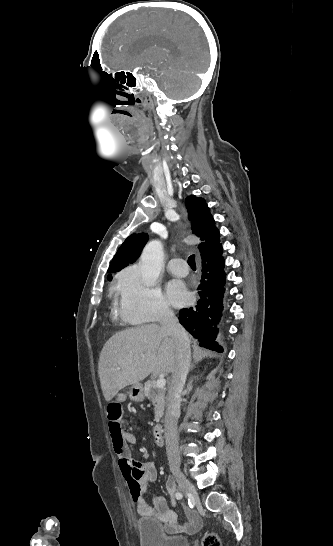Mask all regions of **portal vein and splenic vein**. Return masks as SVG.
I'll return each mask as SVG.
<instances>
[{
    "mask_svg": "<svg viewBox=\"0 0 333 546\" xmlns=\"http://www.w3.org/2000/svg\"><path fill=\"white\" fill-rule=\"evenodd\" d=\"M165 385H166L165 378L162 377V378H159V379L156 380V386L158 388H163Z\"/></svg>",
    "mask_w": 333,
    "mask_h": 546,
    "instance_id": "obj_1",
    "label": "portal vein and splenic vein"
}]
</instances>
